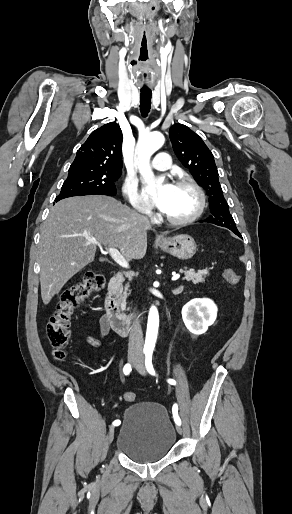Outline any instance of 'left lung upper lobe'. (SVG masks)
I'll return each mask as SVG.
<instances>
[{
	"mask_svg": "<svg viewBox=\"0 0 292 514\" xmlns=\"http://www.w3.org/2000/svg\"><path fill=\"white\" fill-rule=\"evenodd\" d=\"M169 136L176 156L209 197L211 215L203 222L239 232L223 196L212 152L201 137L185 125L174 124L169 130Z\"/></svg>",
	"mask_w": 292,
	"mask_h": 514,
	"instance_id": "obj_1",
	"label": "left lung upper lobe"
}]
</instances>
